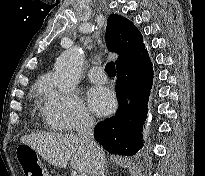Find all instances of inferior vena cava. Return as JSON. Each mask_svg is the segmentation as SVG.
<instances>
[{"mask_svg":"<svg viewBox=\"0 0 205 176\" xmlns=\"http://www.w3.org/2000/svg\"><path fill=\"white\" fill-rule=\"evenodd\" d=\"M94 120L92 117L84 116L81 119L78 128V138L92 153V171L91 176H104L105 161L102 149L96 143L93 137Z\"/></svg>","mask_w":205,"mask_h":176,"instance_id":"602c4592","label":"inferior vena cava"}]
</instances>
